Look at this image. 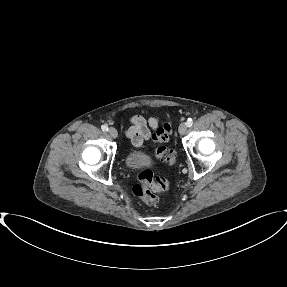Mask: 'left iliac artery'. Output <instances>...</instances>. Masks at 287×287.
Segmentation results:
<instances>
[{
	"instance_id": "left-iliac-artery-1",
	"label": "left iliac artery",
	"mask_w": 287,
	"mask_h": 287,
	"mask_svg": "<svg viewBox=\"0 0 287 287\" xmlns=\"http://www.w3.org/2000/svg\"><path fill=\"white\" fill-rule=\"evenodd\" d=\"M192 124H193L192 118H188V120H187V122H186L187 127L192 126Z\"/></svg>"
}]
</instances>
